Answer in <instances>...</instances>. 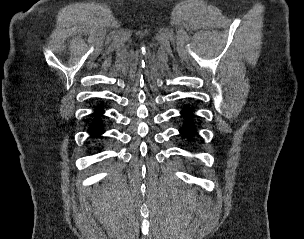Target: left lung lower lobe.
Masks as SVG:
<instances>
[{"label": "left lung lower lobe", "instance_id": "left-lung-lower-lobe-1", "mask_svg": "<svg viewBox=\"0 0 304 239\" xmlns=\"http://www.w3.org/2000/svg\"><path fill=\"white\" fill-rule=\"evenodd\" d=\"M191 110L189 107H185L182 111L181 114L186 117V121L185 124L183 125V127L180 129V133L185 134V135H190L193 134L195 128L194 125L192 123L188 122V118L191 116Z\"/></svg>", "mask_w": 304, "mask_h": 239}]
</instances>
